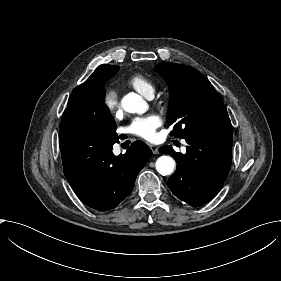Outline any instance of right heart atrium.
I'll return each mask as SVG.
<instances>
[{
    "label": "right heart atrium",
    "mask_w": 281,
    "mask_h": 281,
    "mask_svg": "<svg viewBox=\"0 0 281 281\" xmlns=\"http://www.w3.org/2000/svg\"><path fill=\"white\" fill-rule=\"evenodd\" d=\"M103 103L105 107L110 111H114L120 108L119 96L116 89L109 87L105 90L103 94Z\"/></svg>",
    "instance_id": "d8ad5b80"
}]
</instances>
